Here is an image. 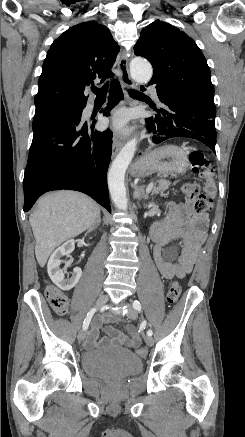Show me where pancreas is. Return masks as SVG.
Returning <instances> with one entry per match:
<instances>
[{"instance_id":"obj_1","label":"pancreas","mask_w":245,"mask_h":437,"mask_svg":"<svg viewBox=\"0 0 245 437\" xmlns=\"http://www.w3.org/2000/svg\"><path fill=\"white\" fill-rule=\"evenodd\" d=\"M157 183H158V185L157 186L154 185L152 188L153 194H159V193L162 194L164 191H166L169 188V186L171 184L170 181L164 180V179L157 181Z\"/></svg>"}]
</instances>
